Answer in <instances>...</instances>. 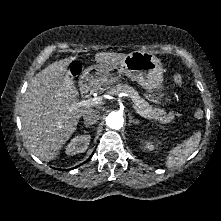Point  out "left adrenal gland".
<instances>
[{
	"label": "left adrenal gland",
	"mask_w": 221,
	"mask_h": 221,
	"mask_svg": "<svg viewBox=\"0 0 221 221\" xmlns=\"http://www.w3.org/2000/svg\"><path fill=\"white\" fill-rule=\"evenodd\" d=\"M131 124L137 125V124H138V121H137V120H134V119L132 118V116L129 114V126H130Z\"/></svg>",
	"instance_id": "left-adrenal-gland-1"
}]
</instances>
